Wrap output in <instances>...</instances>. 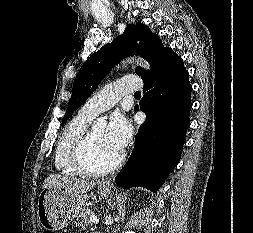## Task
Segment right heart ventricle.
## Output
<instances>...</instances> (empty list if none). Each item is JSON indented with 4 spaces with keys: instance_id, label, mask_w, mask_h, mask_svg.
<instances>
[{
    "instance_id": "1",
    "label": "right heart ventricle",
    "mask_w": 253,
    "mask_h": 233,
    "mask_svg": "<svg viewBox=\"0 0 253 233\" xmlns=\"http://www.w3.org/2000/svg\"><path fill=\"white\" fill-rule=\"evenodd\" d=\"M92 118L79 112L62 130L54 155V166L58 173L66 176L82 175L73 165L72 157L76 144L86 133Z\"/></svg>"
}]
</instances>
